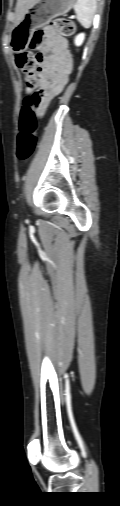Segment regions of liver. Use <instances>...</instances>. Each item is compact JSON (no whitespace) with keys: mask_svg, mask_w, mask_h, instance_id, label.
<instances>
[{"mask_svg":"<svg viewBox=\"0 0 120 506\" xmlns=\"http://www.w3.org/2000/svg\"><path fill=\"white\" fill-rule=\"evenodd\" d=\"M36 0H18L16 4V20L15 24L19 23L29 7L35 2Z\"/></svg>","mask_w":120,"mask_h":506,"instance_id":"liver-1","label":"liver"}]
</instances>
